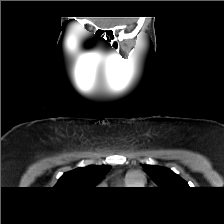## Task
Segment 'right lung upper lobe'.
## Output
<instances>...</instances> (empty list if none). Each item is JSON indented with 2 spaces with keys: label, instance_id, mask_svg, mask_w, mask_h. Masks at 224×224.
Masks as SVG:
<instances>
[{
  "label": "right lung upper lobe",
  "instance_id": "obj_1",
  "mask_svg": "<svg viewBox=\"0 0 224 224\" xmlns=\"http://www.w3.org/2000/svg\"><path fill=\"white\" fill-rule=\"evenodd\" d=\"M110 169L111 166L108 165H90L77 168L64 173L56 186L71 190L93 188L103 179Z\"/></svg>",
  "mask_w": 224,
  "mask_h": 224
}]
</instances>
